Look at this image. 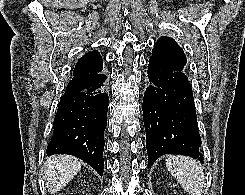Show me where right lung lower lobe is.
Wrapping results in <instances>:
<instances>
[{
  "instance_id": "obj_1",
  "label": "right lung lower lobe",
  "mask_w": 245,
  "mask_h": 195,
  "mask_svg": "<svg viewBox=\"0 0 245 195\" xmlns=\"http://www.w3.org/2000/svg\"><path fill=\"white\" fill-rule=\"evenodd\" d=\"M102 67L74 73L61 97L54 119L53 136L47 156H76L102 176L104 168V130L107 125V76Z\"/></svg>"
}]
</instances>
